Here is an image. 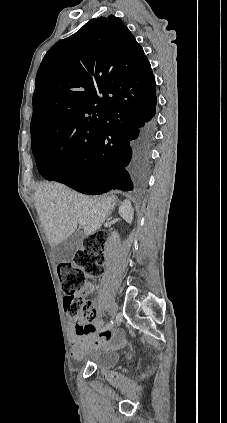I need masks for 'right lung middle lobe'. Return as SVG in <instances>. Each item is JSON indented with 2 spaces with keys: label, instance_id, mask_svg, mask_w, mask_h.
<instances>
[{
  "label": "right lung middle lobe",
  "instance_id": "right-lung-middle-lobe-1",
  "mask_svg": "<svg viewBox=\"0 0 227 423\" xmlns=\"http://www.w3.org/2000/svg\"><path fill=\"white\" fill-rule=\"evenodd\" d=\"M95 146V138L73 141L61 136H48L32 143L39 173L52 181L73 172L76 164Z\"/></svg>",
  "mask_w": 227,
  "mask_h": 423
}]
</instances>
